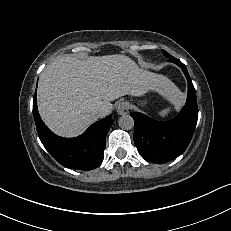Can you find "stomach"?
Listing matches in <instances>:
<instances>
[{
    "instance_id": "obj_1",
    "label": "stomach",
    "mask_w": 231,
    "mask_h": 231,
    "mask_svg": "<svg viewBox=\"0 0 231 231\" xmlns=\"http://www.w3.org/2000/svg\"><path fill=\"white\" fill-rule=\"evenodd\" d=\"M146 103H147V102H146V100H143V101H140V102H139V105H141V106H145V105H146Z\"/></svg>"
}]
</instances>
